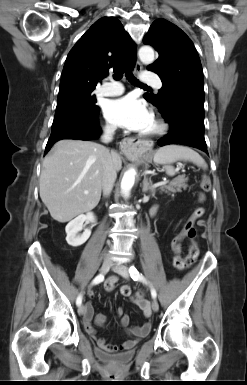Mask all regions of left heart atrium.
<instances>
[{"mask_svg": "<svg viewBox=\"0 0 247 385\" xmlns=\"http://www.w3.org/2000/svg\"><path fill=\"white\" fill-rule=\"evenodd\" d=\"M104 113L110 123L131 131H145L153 120L145 102L131 94L108 101Z\"/></svg>", "mask_w": 247, "mask_h": 385, "instance_id": "1", "label": "left heart atrium"}]
</instances>
